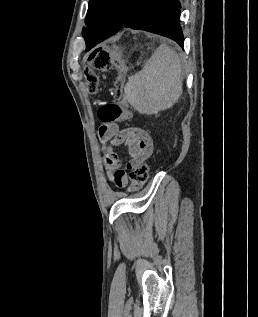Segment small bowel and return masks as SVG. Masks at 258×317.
I'll use <instances>...</instances> for the list:
<instances>
[{"label":"small bowel","mask_w":258,"mask_h":317,"mask_svg":"<svg viewBox=\"0 0 258 317\" xmlns=\"http://www.w3.org/2000/svg\"><path fill=\"white\" fill-rule=\"evenodd\" d=\"M104 153V164L111 182L124 187L128 170L147 160L153 153V140L144 129L130 127L118 130L115 123H102L98 129ZM124 146L130 158L123 164L122 156L115 147Z\"/></svg>","instance_id":"1"}]
</instances>
